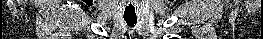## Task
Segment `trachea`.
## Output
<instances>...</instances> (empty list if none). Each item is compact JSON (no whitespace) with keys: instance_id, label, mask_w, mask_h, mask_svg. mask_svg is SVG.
Masks as SVG:
<instances>
[{"instance_id":"obj_1","label":"trachea","mask_w":263,"mask_h":39,"mask_svg":"<svg viewBox=\"0 0 263 39\" xmlns=\"http://www.w3.org/2000/svg\"><path fill=\"white\" fill-rule=\"evenodd\" d=\"M124 20L129 27H134V25H136L137 22V18H124Z\"/></svg>"}]
</instances>
